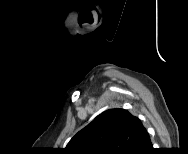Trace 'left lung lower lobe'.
I'll return each mask as SVG.
<instances>
[{"mask_svg": "<svg viewBox=\"0 0 188 154\" xmlns=\"http://www.w3.org/2000/svg\"><path fill=\"white\" fill-rule=\"evenodd\" d=\"M151 141L147 130L141 121L136 117L134 124V133L129 147L128 154H140V152L151 149Z\"/></svg>", "mask_w": 188, "mask_h": 154, "instance_id": "0a47b994", "label": "left lung lower lobe"}]
</instances>
